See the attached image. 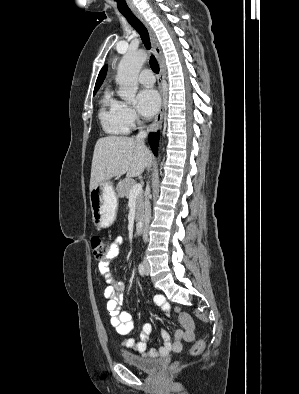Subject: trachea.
Returning <instances> with one entry per match:
<instances>
[{"instance_id": "obj_1", "label": "trachea", "mask_w": 299, "mask_h": 394, "mask_svg": "<svg viewBox=\"0 0 299 394\" xmlns=\"http://www.w3.org/2000/svg\"><path fill=\"white\" fill-rule=\"evenodd\" d=\"M120 13L127 19L130 25L140 34L141 39L146 47V49H151V43L149 38V33L143 23L131 12V11H122ZM150 66L155 73H159V65L157 60L153 55L150 57Z\"/></svg>"}]
</instances>
